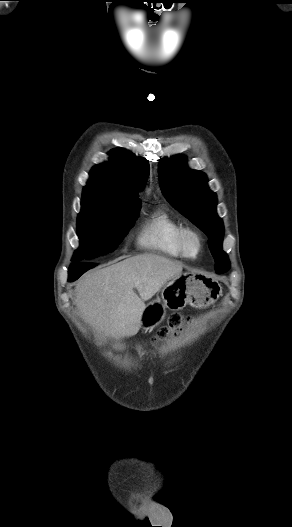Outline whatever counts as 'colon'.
<instances>
[{
	"label": "colon",
	"instance_id": "5ec220e1",
	"mask_svg": "<svg viewBox=\"0 0 292 527\" xmlns=\"http://www.w3.org/2000/svg\"><path fill=\"white\" fill-rule=\"evenodd\" d=\"M188 321L189 317H184L180 315L171 316L167 325L162 326L157 331L154 341L167 339L173 335L178 334L182 330L183 325Z\"/></svg>",
	"mask_w": 292,
	"mask_h": 527
}]
</instances>
